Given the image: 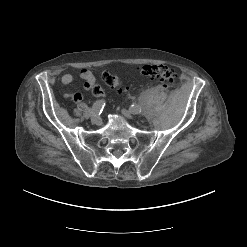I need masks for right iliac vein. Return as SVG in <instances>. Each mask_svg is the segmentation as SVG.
Segmentation results:
<instances>
[{
  "label": "right iliac vein",
  "mask_w": 247,
  "mask_h": 247,
  "mask_svg": "<svg viewBox=\"0 0 247 247\" xmlns=\"http://www.w3.org/2000/svg\"><path fill=\"white\" fill-rule=\"evenodd\" d=\"M90 117H91V120L93 122H95V123L99 122L98 118L96 117V115L93 112H90Z\"/></svg>",
  "instance_id": "63e3f726"
}]
</instances>
